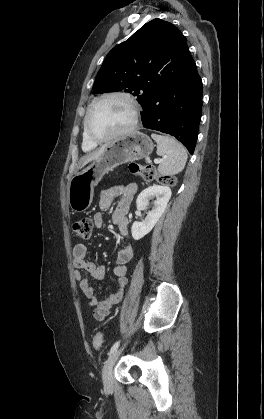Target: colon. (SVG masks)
<instances>
[{"label": "colon", "instance_id": "5ec220e1", "mask_svg": "<svg viewBox=\"0 0 264 419\" xmlns=\"http://www.w3.org/2000/svg\"><path fill=\"white\" fill-rule=\"evenodd\" d=\"M130 171L140 176L146 181L157 180L161 184L173 185L175 178L171 176L159 175L152 165H144L139 163H131L129 166ZM93 221L90 218H82L76 221L73 225L74 236L81 240L87 241L92 233ZM103 342L102 333L97 332L92 339V345L95 350H100Z\"/></svg>", "mask_w": 264, "mask_h": 419}]
</instances>
